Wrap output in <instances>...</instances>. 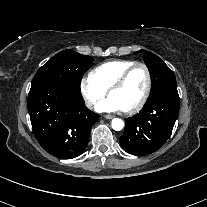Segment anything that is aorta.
Returning a JSON list of instances; mask_svg holds the SVG:
<instances>
[{
	"mask_svg": "<svg viewBox=\"0 0 207 207\" xmlns=\"http://www.w3.org/2000/svg\"><path fill=\"white\" fill-rule=\"evenodd\" d=\"M111 126L115 131H121L124 127V122L119 118H114L111 121Z\"/></svg>",
	"mask_w": 207,
	"mask_h": 207,
	"instance_id": "762f6f07",
	"label": "aorta"
}]
</instances>
